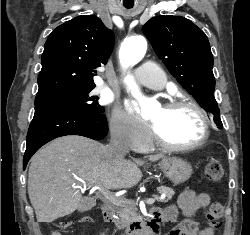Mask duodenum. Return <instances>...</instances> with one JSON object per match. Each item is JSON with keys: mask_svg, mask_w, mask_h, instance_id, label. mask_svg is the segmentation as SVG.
I'll use <instances>...</instances> for the list:
<instances>
[{"mask_svg": "<svg viewBox=\"0 0 250 235\" xmlns=\"http://www.w3.org/2000/svg\"><path fill=\"white\" fill-rule=\"evenodd\" d=\"M104 220L110 225L115 221L114 213L111 208L104 206L102 208ZM161 222V216L157 211H151L149 218L144 225L132 226L128 235H158V225ZM109 228H105L100 235H108Z\"/></svg>", "mask_w": 250, "mask_h": 235, "instance_id": "duodenum-1", "label": "duodenum"}]
</instances>
